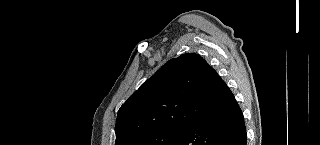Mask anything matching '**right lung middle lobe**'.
<instances>
[{
	"instance_id": "1",
	"label": "right lung middle lobe",
	"mask_w": 320,
	"mask_h": 145,
	"mask_svg": "<svg viewBox=\"0 0 320 145\" xmlns=\"http://www.w3.org/2000/svg\"><path fill=\"white\" fill-rule=\"evenodd\" d=\"M184 128H170L152 132L136 140L132 145H170Z\"/></svg>"
}]
</instances>
